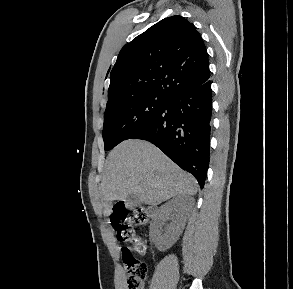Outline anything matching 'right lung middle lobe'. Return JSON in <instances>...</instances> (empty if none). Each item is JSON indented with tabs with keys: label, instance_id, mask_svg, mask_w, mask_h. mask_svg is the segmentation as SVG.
Segmentation results:
<instances>
[{
	"label": "right lung middle lobe",
	"instance_id": "right-lung-middle-lobe-1",
	"mask_svg": "<svg viewBox=\"0 0 293 289\" xmlns=\"http://www.w3.org/2000/svg\"><path fill=\"white\" fill-rule=\"evenodd\" d=\"M168 99L162 94L147 93L107 105L103 126L105 150H110L126 140L136 129L155 115Z\"/></svg>",
	"mask_w": 293,
	"mask_h": 289
}]
</instances>
